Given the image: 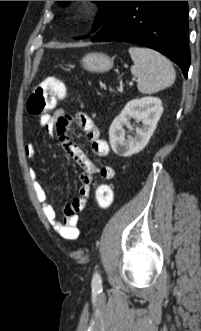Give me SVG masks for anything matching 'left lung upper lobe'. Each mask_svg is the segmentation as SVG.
Masks as SVG:
<instances>
[{"label": "left lung upper lobe", "mask_w": 201, "mask_h": 331, "mask_svg": "<svg viewBox=\"0 0 201 331\" xmlns=\"http://www.w3.org/2000/svg\"><path fill=\"white\" fill-rule=\"evenodd\" d=\"M59 3H64L65 1H58ZM97 2L102 10L101 13L95 19V24L93 26V32L100 28L106 20L114 13L118 4L121 1H94Z\"/></svg>", "instance_id": "left-lung-upper-lobe-1"}]
</instances>
